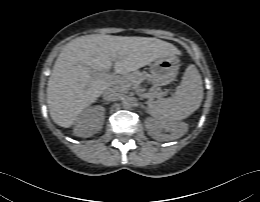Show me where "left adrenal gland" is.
Wrapping results in <instances>:
<instances>
[{
	"label": "left adrenal gland",
	"mask_w": 260,
	"mask_h": 202,
	"mask_svg": "<svg viewBox=\"0 0 260 202\" xmlns=\"http://www.w3.org/2000/svg\"><path fill=\"white\" fill-rule=\"evenodd\" d=\"M141 107L145 110H147V107H145L143 104L141 105Z\"/></svg>",
	"instance_id": "left-adrenal-gland-1"
}]
</instances>
